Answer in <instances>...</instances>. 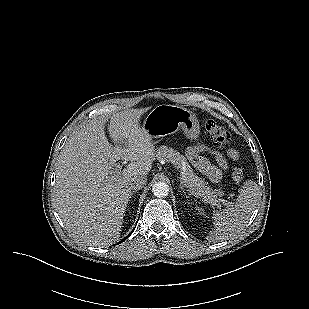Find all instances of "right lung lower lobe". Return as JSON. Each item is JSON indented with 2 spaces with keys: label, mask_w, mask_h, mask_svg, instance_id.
<instances>
[{
  "label": "right lung lower lobe",
  "mask_w": 309,
  "mask_h": 309,
  "mask_svg": "<svg viewBox=\"0 0 309 309\" xmlns=\"http://www.w3.org/2000/svg\"><path fill=\"white\" fill-rule=\"evenodd\" d=\"M126 238H127V237H126ZM124 240H125V239L121 240L120 243L123 242Z\"/></svg>",
  "instance_id": "right-lung-lower-lobe-1"
}]
</instances>
